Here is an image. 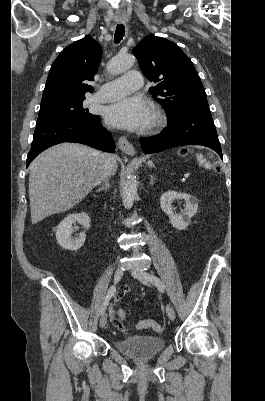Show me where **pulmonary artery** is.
Returning a JSON list of instances; mask_svg holds the SVG:
<instances>
[{"label": "pulmonary artery", "mask_w": 265, "mask_h": 401, "mask_svg": "<svg viewBox=\"0 0 265 401\" xmlns=\"http://www.w3.org/2000/svg\"><path fill=\"white\" fill-rule=\"evenodd\" d=\"M121 69L113 70V76L103 84L98 96L93 98L97 102L124 101L125 95H136L140 88L141 75L139 72H129L127 75H120ZM119 75L118 78H115Z\"/></svg>", "instance_id": "1"}]
</instances>
